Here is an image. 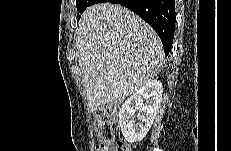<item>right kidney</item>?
<instances>
[{"label":"right kidney","mask_w":231,"mask_h":151,"mask_svg":"<svg viewBox=\"0 0 231 151\" xmlns=\"http://www.w3.org/2000/svg\"><path fill=\"white\" fill-rule=\"evenodd\" d=\"M161 98L162 83L151 80L124 102L119 111V124L127 142H138L146 136L159 109ZM136 111L138 114L135 118Z\"/></svg>","instance_id":"ca27d5eb"}]
</instances>
